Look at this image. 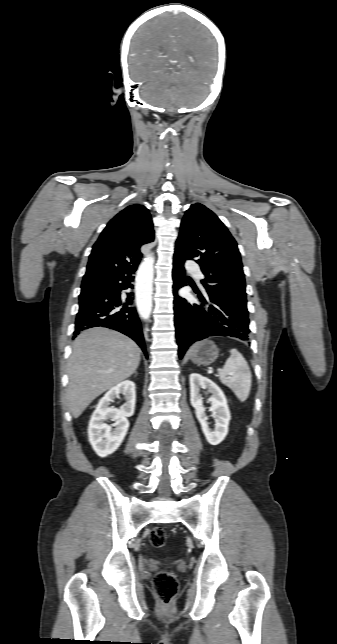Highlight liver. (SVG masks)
I'll return each mask as SVG.
<instances>
[{"mask_svg": "<svg viewBox=\"0 0 337 644\" xmlns=\"http://www.w3.org/2000/svg\"><path fill=\"white\" fill-rule=\"evenodd\" d=\"M141 350L127 336L106 328H91L73 342L68 364L67 401L78 418L106 390L129 378L140 363Z\"/></svg>", "mask_w": 337, "mask_h": 644, "instance_id": "1", "label": "liver"}]
</instances>
